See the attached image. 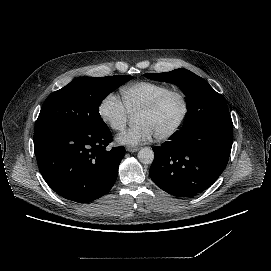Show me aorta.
I'll return each mask as SVG.
<instances>
[{
	"mask_svg": "<svg viewBox=\"0 0 271 271\" xmlns=\"http://www.w3.org/2000/svg\"><path fill=\"white\" fill-rule=\"evenodd\" d=\"M138 158L142 164L150 165L154 160V152L150 148H143L138 152Z\"/></svg>",
	"mask_w": 271,
	"mask_h": 271,
	"instance_id": "762f6f07",
	"label": "aorta"
}]
</instances>
